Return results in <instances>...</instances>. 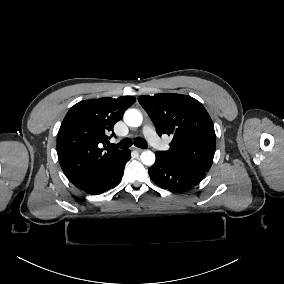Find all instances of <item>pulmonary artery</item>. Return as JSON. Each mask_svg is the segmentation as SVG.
<instances>
[{
	"instance_id": "obj_1",
	"label": "pulmonary artery",
	"mask_w": 284,
	"mask_h": 284,
	"mask_svg": "<svg viewBox=\"0 0 284 284\" xmlns=\"http://www.w3.org/2000/svg\"><path fill=\"white\" fill-rule=\"evenodd\" d=\"M155 130V125L151 121H146L142 125L143 134L146 136V139L151 143L152 147L156 150L166 151L168 149V143L161 139Z\"/></svg>"
}]
</instances>
